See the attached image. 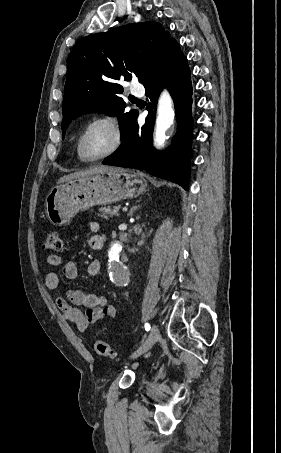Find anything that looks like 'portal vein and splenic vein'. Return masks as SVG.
Listing matches in <instances>:
<instances>
[{"label": "portal vein and splenic vein", "mask_w": 281, "mask_h": 453, "mask_svg": "<svg viewBox=\"0 0 281 453\" xmlns=\"http://www.w3.org/2000/svg\"><path fill=\"white\" fill-rule=\"evenodd\" d=\"M127 210H128L127 207H125V206H124V207H121V212H124V213H125V212H127Z\"/></svg>", "instance_id": "portal-vein-and-splenic-vein-1"}]
</instances>
